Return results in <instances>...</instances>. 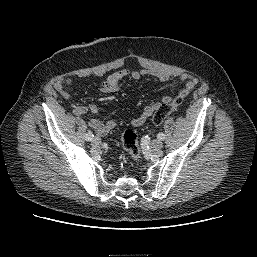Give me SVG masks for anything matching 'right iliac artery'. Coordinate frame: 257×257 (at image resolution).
<instances>
[{"mask_svg": "<svg viewBox=\"0 0 257 257\" xmlns=\"http://www.w3.org/2000/svg\"><path fill=\"white\" fill-rule=\"evenodd\" d=\"M94 138V134L92 132H88L86 135H85V139L87 141H92Z\"/></svg>", "mask_w": 257, "mask_h": 257, "instance_id": "obj_1", "label": "right iliac artery"}]
</instances>
